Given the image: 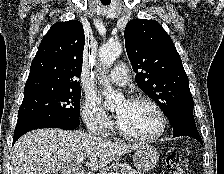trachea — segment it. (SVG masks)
Returning <instances> with one entry per match:
<instances>
[{"label":"trachea","mask_w":224,"mask_h":174,"mask_svg":"<svg viewBox=\"0 0 224 174\" xmlns=\"http://www.w3.org/2000/svg\"><path fill=\"white\" fill-rule=\"evenodd\" d=\"M103 1H107V0H103ZM102 3H104V4H108L107 2H102Z\"/></svg>","instance_id":"1"}]
</instances>
